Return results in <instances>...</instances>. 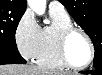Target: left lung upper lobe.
Wrapping results in <instances>:
<instances>
[{
	"instance_id": "1",
	"label": "left lung upper lobe",
	"mask_w": 102,
	"mask_h": 75,
	"mask_svg": "<svg viewBox=\"0 0 102 75\" xmlns=\"http://www.w3.org/2000/svg\"><path fill=\"white\" fill-rule=\"evenodd\" d=\"M89 35L94 47V67L102 68V0H59Z\"/></svg>"
}]
</instances>
